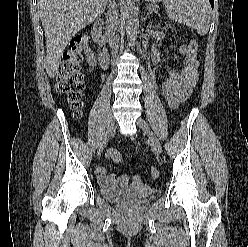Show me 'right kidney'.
<instances>
[{
	"mask_svg": "<svg viewBox=\"0 0 248 247\" xmlns=\"http://www.w3.org/2000/svg\"><path fill=\"white\" fill-rule=\"evenodd\" d=\"M87 61L89 63V65L92 67L91 71L94 69V67L96 66V60L94 55L89 51V53L87 54Z\"/></svg>",
	"mask_w": 248,
	"mask_h": 247,
	"instance_id": "obj_1",
	"label": "right kidney"
}]
</instances>
